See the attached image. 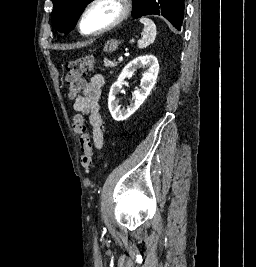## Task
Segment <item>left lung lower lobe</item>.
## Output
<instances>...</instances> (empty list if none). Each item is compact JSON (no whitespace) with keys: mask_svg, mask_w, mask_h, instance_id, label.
Segmentation results:
<instances>
[{"mask_svg":"<svg viewBox=\"0 0 256 267\" xmlns=\"http://www.w3.org/2000/svg\"><path fill=\"white\" fill-rule=\"evenodd\" d=\"M184 0H175V21L173 26L181 30L183 18H184Z\"/></svg>","mask_w":256,"mask_h":267,"instance_id":"0a47b994","label":"left lung lower lobe"}]
</instances>
